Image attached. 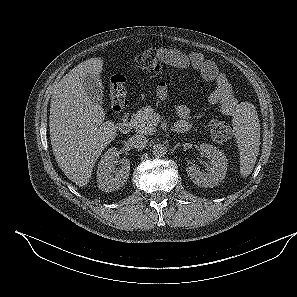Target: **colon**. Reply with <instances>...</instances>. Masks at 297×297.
<instances>
[{"label":"colon","mask_w":297,"mask_h":297,"mask_svg":"<svg viewBox=\"0 0 297 297\" xmlns=\"http://www.w3.org/2000/svg\"><path fill=\"white\" fill-rule=\"evenodd\" d=\"M134 64L139 69L149 72H159L161 69V61L156 50L150 49L139 53L134 57ZM109 98L112 110L119 114L127 104V90L125 78L120 73H115L109 82ZM211 136L217 142H226L231 139L232 127L219 119H213L209 124Z\"/></svg>","instance_id":"1"}]
</instances>
